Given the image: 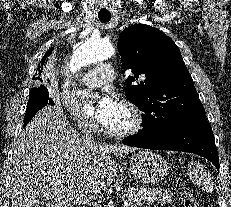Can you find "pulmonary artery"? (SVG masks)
Segmentation results:
<instances>
[{
  "label": "pulmonary artery",
  "mask_w": 231,
  "mask_h": 207,
  "mask_svg": "<svg viewBox=\"0 0 231 207\" xmlns=\"http://www.w3.org/2000/svg\"><path fill=\"white\" fill-rule=\"evenodd\" d=\"M115 71L109 63H99L84 75L83 81L89 87H99L115 78Z\"/></svg>",
  "instance_id": "pulmonary-artery-1"
}]
</instances>
